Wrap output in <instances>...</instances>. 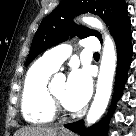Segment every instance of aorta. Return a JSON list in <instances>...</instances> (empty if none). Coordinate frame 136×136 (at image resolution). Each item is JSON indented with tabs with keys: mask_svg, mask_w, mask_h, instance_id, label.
Returning <instances> with one entry per match:
<instances>
[{
	"mask_svg": "<svg viewBox=\"0 0 136 136\" xmlns=\"http://www.w3.org/2000/svg\"><path fill=\"white\" fill-rule=\"evenodd\" d=\"M82 21L90 27L104 33V46L96 94L86 119L88 124H94L106 110L111 96L112 83L116 69V52L113 39L105 32V26L99 19L94 17H83ZM55 78L62 79L63 76L58 75L55 76Z\"/></svg>",
	"mask_w": 136,
	"mask_h": 136,
	"instance_id": "762f6f07",
	"label": "aorta"
}]
</instances>
